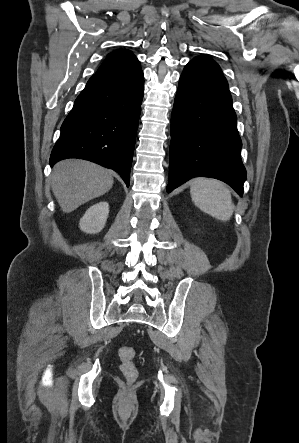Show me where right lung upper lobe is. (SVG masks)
Here are the masks:
<instances>
[{
  "instance_id": "cb5924a9",
  "label": "right lung upper lobe",
  "mask_w": 299,
  "mask_h": 443,
  "mask_svg": "<svg viewBox=\"0 0 299 443\" xmlns=\"http://www.w3.org/2000/svg\"><path fill=\"white\" fill-rule=\"evenodd\" d=\"M140 68L139 60L128 50H116L108 54L96 73L130 72Z\"/></svg>"
}]
</instances>
